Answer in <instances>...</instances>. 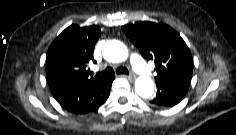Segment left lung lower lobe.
I'll return each mask as SVG.
<instances>
[{"mask_svg": "<svg viewBox=\"0 0 236 135\" xmlns=\"http://www.w3.org/2000/svg\"><path fill=\"white\" fill-rule=\"evenodd\" d=\"M157 95L150 103L160 107H173L186 95L190 80H168L156 83Z\"/></svg>", "mask_w": 236, "mask_h": 135, "instance_id": "left-lung-lower-lobe-1", "label": "left lung lower lobe"}]
</instances>
